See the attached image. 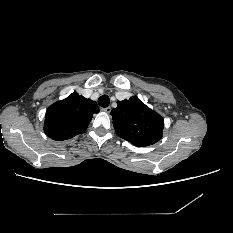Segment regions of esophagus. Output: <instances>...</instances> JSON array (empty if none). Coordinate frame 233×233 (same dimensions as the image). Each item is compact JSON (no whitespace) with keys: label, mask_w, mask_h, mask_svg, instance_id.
Listing matches in <instances>:
<instances>
[{"label":"esophagus","mask_w":233,"mask_h":233,"mask_svg":"<svg viewBox=\"0 0 233 233\" xmlns=\"http://www.w3.org/2000/svg\"><path fill=\"white\" fill-rule=\"evenodd\" d=\"M102 111L109 114L111 112V107L102 108Z\"/></svg>","instance_id":"34e87169"}]
</instances>
